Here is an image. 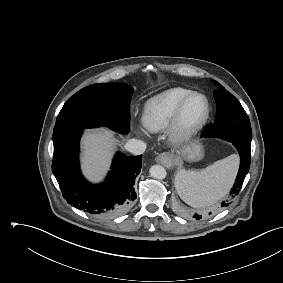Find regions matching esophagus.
I'll list each match as a JSON object with an SVG mask.
<instances>
[{
    "instance_id": "obj_1",
    "label": "esophagus",
    "mask_w": 283,
    "mask_h": 283,
    "mask_svg": "<svg viewBox=\"0 0 283 283\" xmlns=\"http://www.w3.org/2000/svg\"><path fill=\"white\" fill-rule=\"evenodd\" d=\"M156 162L169 168L173 166V157L170 153H161L155 158Z\"/></svg>"
}]
</instances>
